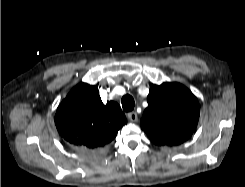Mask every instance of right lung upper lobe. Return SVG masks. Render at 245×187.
<instances>
[{
	"mask_svg": "<svg viewBox=\"0 0 245 187\" xmlns=\"http://www.w3.org/2000/svg\"><path fill=\"white\" fill-rule=\"evenodd\" d=\"M127 123L120 106L103 104L96 86L78 84L60 103L55 124L60 135L73 147L97 150L110 143Z\"/></svg>",
	"mask_w": 245,
	"mask_h": 187,
	"instance_id": "right-lung-upper-lobe-1",
	"label": "right lung upper lobe"
}]
</instances>
